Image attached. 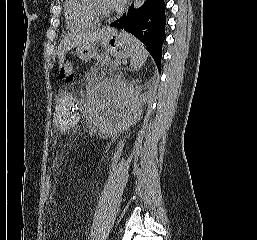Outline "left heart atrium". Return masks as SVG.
Segmentation results:
<instances>
[{"mask_svg":"<svg viewBox=\"0 0 257 240\" xmlns=\"http://www.w3.org/2000/svg\"><path fill=\"white\" fill-rule=\"evenodd\" d=\"M126 0H109L112 9H120L125 4Z\"/></svg>","mask_w":257,"mask_h":240,"instance_id":"39dd6f15","label":"left heart atrium"}]
</instances>
